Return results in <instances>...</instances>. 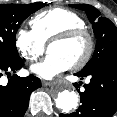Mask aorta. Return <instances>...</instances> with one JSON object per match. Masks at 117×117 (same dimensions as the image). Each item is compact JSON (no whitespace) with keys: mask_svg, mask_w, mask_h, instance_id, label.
Returning <instances> with one entry per match:
<instances>
[{"mask_svg":"<svg viewBox=\"0 0 117 117\" xmlns=\"http://www.w3.org/2000/svg\"><path fill=\"white\" fill-rule=\"evenodd\" d=\"M56 107L61 109L64 113H69L76 109L78 105V95L74 91L64 90L58 93L55 100Z\"/></svg>","mask_w":117,"mask_h":117,"instance_id":"obj_1","label":"aorta"}]
</instances>
